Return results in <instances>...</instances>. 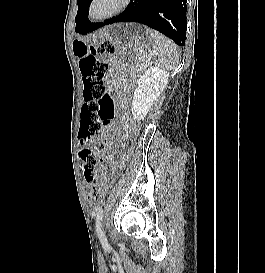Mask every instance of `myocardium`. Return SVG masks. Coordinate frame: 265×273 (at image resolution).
I'll use <instances>...</instances> for the list:
<instances>
[{"label":"myocardium","mask_w":265,"mask_h":273,"mask_svg":"<svg viewBox=\"0 0 265 273\" xmlns=\"http://www.w3.org/2000/svg\"><path fill=\"white\" fill-rule=\"evenodd\" d=\"M95 2H96V0H91L89 2L88 10H87L88 17L93 21L99 22V21H105V20L111 19L113 17L118 16L122 12H124L128 8V6L130 5L131 0H120L119 4L112 11H110L109 13L102 15V16H95L93 14V6H94Z\"/></svg>","instance_id":"myocardium-1"}]
</instances>
